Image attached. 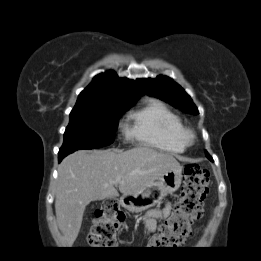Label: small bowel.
<instances>
[{"instance_id":"1","label":"small bowel","mask_w":261,"mask_h":261,"mask_svg":"<svg viewBox=\"0 0 261 261\" xmlns=\"http://www.w3.org/2000/svg\"><path fill=\"white\" fill-rule=\"evenodd\" d=\"M171 205L167 203L163 208L153 210L149 213L147 223L150 229L154 230L158 220L164 219L169 216Z\"/></svg>"}]
</instances>
